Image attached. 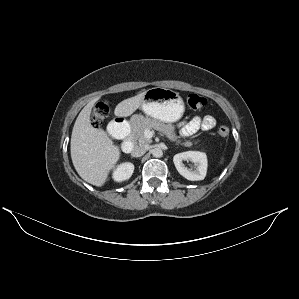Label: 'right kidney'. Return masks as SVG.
I'll return each instance as SVG.
<instances>
[{
  "label": "right kidney",
  "instance_id": "ca27d5eb",
  "mask_svg": "<svg viewBox=\"0 0 299 299\" xmlns=\"http://www.w3.org/2000/svg\"><path fill=\"white\" fill-rule=\"evenodd\" d=\"M134 171V165L130 162H125L116 168V170L113 172V179L116 182H122L127 179H129Z\"/></svg>",
  "mask_w": 299,
  "mask_h": 299
}]
</instances>
